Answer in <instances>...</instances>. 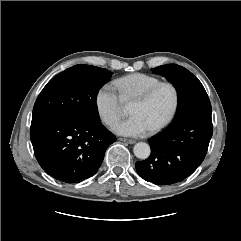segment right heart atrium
Returning a JSON list of instances; mask_svg holds the SVG:
<instances>
[{"label":"right heart atrium","instance_id":"obj_1","mask_svg":"<svg viewBox=\"0 0 241 241\" xmlns=\"http://www.w3.org/2000/svg\"><path fill=\"white\" fill-rule=\"evenodd\" d=\"M95 107L107 126H113L119 118L121 100L112 86L105 84L98 89L95 95Z\"/></svg>","mask_w":241,"mask_h":241}]
</instances>
